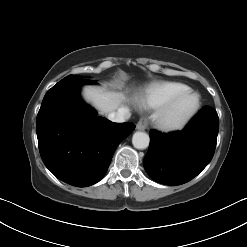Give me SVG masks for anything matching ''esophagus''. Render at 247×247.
<instances>
[{
    "instance_id": "1",
    "label": "esophagus",
    "mask_w": 247,
    "mask_h": 247,
    "mask_svg": "<svg viewBox=\"0 0 247 247\" xmlns=\"http://www.w3.org/2000/svg\"><path fill=\"white\" fill-rule=\"evenodd\" d=\"M146 128H147V120L145 118H141L136 124V129L140 131H144Z\"/></svg>"
}]
</instances>
